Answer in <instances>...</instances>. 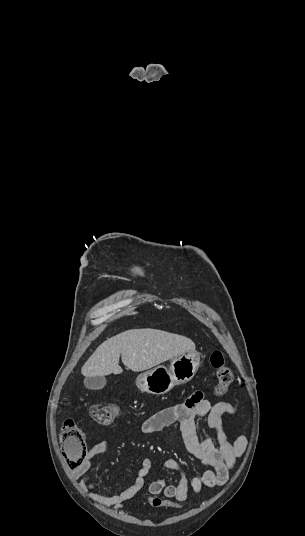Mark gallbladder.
Returning <instances> with one entry per match:
<instances>
[{
  "mask_svg": "<svg viewBox=\"0 0 305 536\" xmlns=\"http://www.w3.org/2000/svg\"><path fill=\"white\" fill-rule=\"evenodd\" d=\"M83 384L88 390H102L106 386L107 380L104 376H95V378H85Z\"/></svg>",
  "mask_w": 305,
  "mask_h": 536,
  "instance_id": "gallbladder-1",
  "label": "gallbladder"
}]
</instances>
